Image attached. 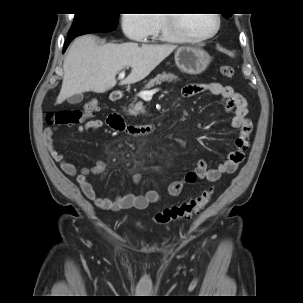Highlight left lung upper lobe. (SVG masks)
Wrapping results in <instances>:
<instances>
[{
  "label": "left lung upper lobe",
  "instance_id": "5c2ea615",
  "mask_svg": "<svg viewBox=\"0 0 303 303\" xmlns=\"http://www.w3.org/2000/svg\"><path fill=\"white\" fill-rule=\"evenodd\" d=\"M226 18H229L232 14H229V15H225L223 14Z\"/></svg>",
  "mask_w": 303,
  "mask_h": 303
}]
</instances>
